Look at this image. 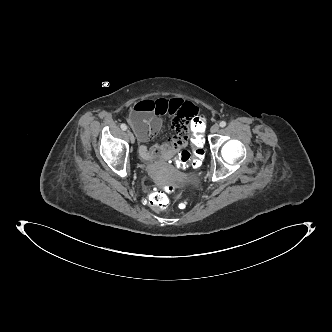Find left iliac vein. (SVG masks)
I'll use <instances>...</instances> for the list:
<instances>
[{
  "mask_svg": "<svg viewBox=\"0 0 332 332\" xmlns=\"http://www.w3.org/2000/svg\"><path fill=\"white\" fill-rule=\"evenodd\" d=\"M219 131V125L218 124H214L212 127H211V133H216Z\"/></svg>",
  "mask_w": 332,
  "mask_h": 332,
  "instance_id": "1",
  "label": "left iliac vein"
}]
</instances>
